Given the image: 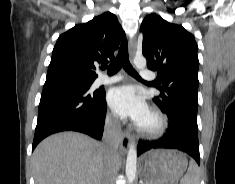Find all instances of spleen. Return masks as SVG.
Instances as JSON below:
<instances>
[{"label": "spleen", "mask_w": 235, "mask_h": 184, "mask_svg": "<svg viewBox=\"0 0 235 184\" xmlns=\"http://www.w3.org/2000/svg\"><path fill=\"white\" fill-rule=\"evenodd\" d=\"M199 168L195 162H190L188 172L182 178L180 184H200Z\"/></svg>", "instance_id": "1"}]
</instances>
